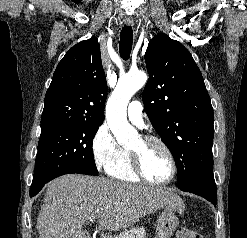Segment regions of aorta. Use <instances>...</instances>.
<instances>
[{"label": "aorta", "mask_w": 247, "mask_h": 238, "mask_svg": "<svg viewBox=\"0 0 247 238\" xmlns=\"http://www.w3.org/2000/svg\"><path fill=\"white\" fill-rule=\"evenodd\" d=\"M147 81L144 72L128 73L120 78L106 106L107 123L121 145H126L136 136V130L127 121V105L131 97Z\"/></svg>", "instance_id": "762f6f07"}]
</instances>
